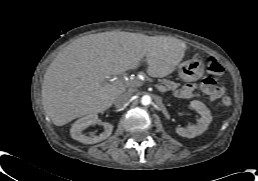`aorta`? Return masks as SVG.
Segmentation results:
<instances>
[{
	"mask_svg": "<svg viewBox=\"0 0 258 181\" xmlns=\"http://www.w3.org/2000/svg\"><path fill=\"white\" fill-rule=\"evenodd\" d=\"M151 102H152V99H151V97H150L149 95H144V96H142V98H141V103H142L143 105H150Z\"/></svg>",
	"mask_w": 258,
	"mask_h": 181,
	"instance_id": "aorta-1",
	"label": "aorta"
}]
</instances>
